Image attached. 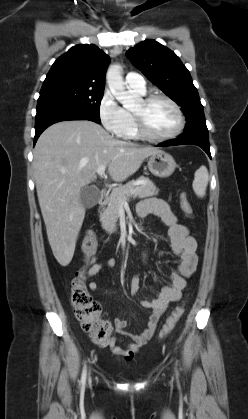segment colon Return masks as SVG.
<instances>
[{
  "label": "colon",
  "mask_w": 248,
  "mask_h": 419,
  "mask_svg": "<svg viewBox=\"0 0 248 419\" xmlns=\"http://www.w3.org/2000/svg\"><path fill=\"white\" fill-rule=\"evenodd\" d=\"M180 207L188 216H193V208L185 194L180 196ZM97 249V238L93 232H87L83 238L82 251L85 266L77 271L70 284V299L74 307V314L80 322L81 328L89 333L93 341L97 344L107 343L112 335L113 328L107 321L99 319L100 306L89 295L85 285V272L92 263ZM182 305L175 308L162 327L159 338H165L175 327L177 321L183 314Z\"/></svg>",
  "instance_id": "obj_1"
}]
</instances>
